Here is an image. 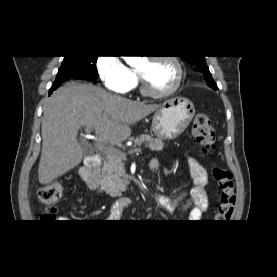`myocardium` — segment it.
I'll list each match as a JSON object with an SVG mask.
<instances>
[{"label":"myocardium","mask_w":277,"mask_h":277,"mask_svg":"<svg viewBox=\"0 0 277 277\" xmlns=\"http://www.w3.org/2000/svg\"><path fill=\"white\" fill-rule=\"evenodd\" d=\"M148 60L150 61L163 60V61L169 62L175 69V79L173 84L167 90L161 91V92H154L147 87L142 74L137 70L141 93L147 97H151L154 99L166 98L173 95L180 87L183 79L184 72L179 59L172 55H159V56L149 57Z\"/></svg>","instance_id":"1"}]
</instances>
